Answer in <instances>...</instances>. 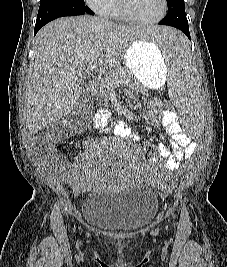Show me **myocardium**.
<instances>
[{
	"label": "myocardium",
	"mask_w": 227,
	"mask_h": 267,
	"mask_svg": "<svg viewBox=\"0 0 227 267\" xmlns=\"http://www.w3.org/2000/svg\"><path fill=\"white\" fill-rule=\"evenodd\" d=\"M161 2H162L161 12L157 17L153 19H140L136 17L128 8L126 0H117V5L119 12L124 19L133 23L148 25V24L158 23L165 17L168 9V1L161 0Z\"/></svg>",
	"instance_id": "obj_1"
}]
</instances>
